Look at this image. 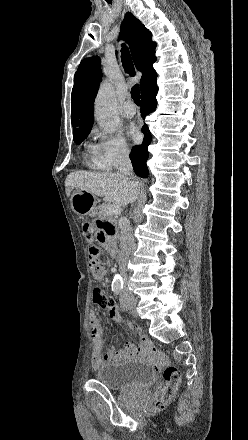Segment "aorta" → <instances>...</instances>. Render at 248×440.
<instances>
[{
	"label": "aorta",
	"mask_w": 248,
	"mask_h": 440,
	"mask_svg": "<svg viewBox=\"0 0 248 440\" xmlns=\"http://www.w3.org/2000/svg\"><path fill=\"white\" fill-rule=\"evenodd\" d=\"M95 116L100 127L109 133L115 132L120 124L116 107L115 92L111 85L103 84L95 99ZM122 278L119 274L114 276L112 288L122 287Z\"/></svg>",
	"instance_id": "1"
}]
</instances>
